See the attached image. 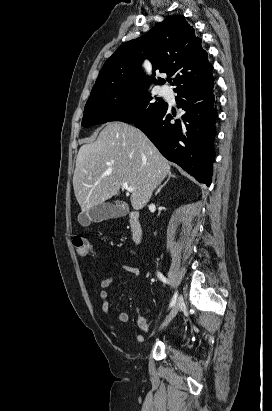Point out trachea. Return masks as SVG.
Masks as SVG:
<instances>
[{
  "mask_svg": "<svg viewBox=\"0 0 272 411\" xmlns=\"http://www.w3.org/2000/svg\"><path fill=\"white\" fill-rule=\"evenodd\" d=\"M172 81V79H169V82H171Z\"/></svg>",
  "mask_w": 272,
  "mask_h": 411,
  "instance_id": "obj_1",
  "label": "trachea"
}]
</instances>
